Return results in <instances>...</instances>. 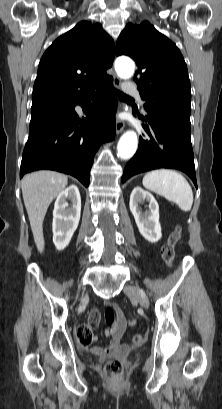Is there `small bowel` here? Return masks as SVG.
Returning <instances> with one entry per match:
<instances>
[{
	"mask_svg": "<svg viewBox=\"0 0 222 409\" xmlns=\"http://www.w3.org/2000/svg\"><path fill=\"white\" fill-rule=\"evenodd\" d=\"M108 305L115 310L116 320H114L110 328L105 330V335L110 338V340L104 347L92 345L97 340V337L93 334V330L99 325L100 313L98 310L91 311L88 323L86 324L91 330L93 336L91 343L83 346L88 348L92 354L98 356L109 353L115 347H117L127 327L135 322L133 318L126 316L115 303L109 302Z\"/></svg>",
	"mask_w": 222,
	"mask_h": 409,
	"instance_id": "c3829d8e",
	"label": "small bowel"
}]
</instances>
